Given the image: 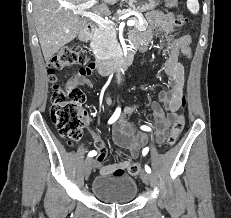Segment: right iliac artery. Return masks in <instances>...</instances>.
I'll use <instances>...</instances> for the list:
<instances>
[{
  "label": "right iliac artery",
  "mask_w": 231,
  "mask_h": 218,
  "mask_svg": "<svg viewBox=\"0 0 231 218\" xmlns=\"http://www.w3.org/2000/svg\"><path fill=\"white\" fill-rule=\"evenodd\" d=\"M120 112H121V109L117 108L116 111L114 112V114L112 115V117L110 118L108 123L109 124L114 123L118 119ZM96 154H97V152L95 150H92L89 152L88 156L92 157V156H95Z\"/></svg>",
  "instance_id": "right-iliac-artery-1"
}]
</instances>
